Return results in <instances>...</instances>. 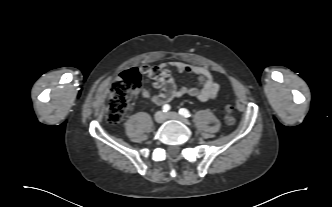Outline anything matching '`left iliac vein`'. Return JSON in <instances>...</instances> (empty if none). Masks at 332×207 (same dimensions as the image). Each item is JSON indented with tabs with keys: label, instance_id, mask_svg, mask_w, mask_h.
Instances as JSON below:
<instances>
[{
	"label": "left iliac vein",
	"instance_id": "4c4485c4",
	"mask_svg": "<svg viewBox=\"0 0 332 207\" xmlns=\"http://www.w3.org/2000/svg\"><path fill=\"white\" fill-rule=\"evenodd\" d=\"M166 117L168 119L180 121V122H182V123H184L186 125L189 124V121L187 119H185L182 115H180L177 112H169V113L166 114Z\"/></svg>",
	"mask_w": 332,
	"mask_h": 207
}]
</instances>
